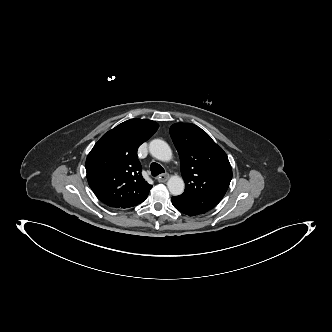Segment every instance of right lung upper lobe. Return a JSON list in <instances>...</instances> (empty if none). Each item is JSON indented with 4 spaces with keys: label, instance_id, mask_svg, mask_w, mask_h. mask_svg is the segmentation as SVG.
Wrapping results in <instances>:
<instances>
[{
    "label": "right lung upper lobe",
    "instance_id": "1",
    "mask_svg": "<svg viewBox=\"0 0 332 332\" xmlns=\"http://www.w3.org/2000/svg\"><path fill=\"white\" fill-rule=\"evenodd\" d=\"M159 125L146 119H130L104 134L86 159L90 188L104 204L115 208L143 202L152 185L142 177L138 147Z\"/></svg>",
    "mask_w": 332,
    "mask_h": 332
}]
</instances>
